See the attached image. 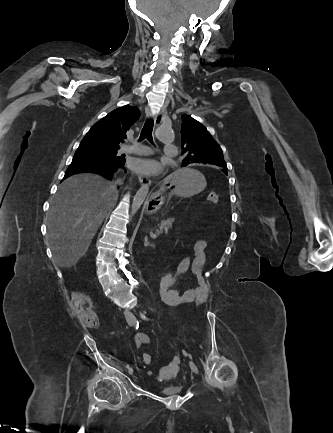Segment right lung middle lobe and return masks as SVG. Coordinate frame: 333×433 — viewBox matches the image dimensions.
<instances>
[{
    "label": "right lung middle lobe",
    "mask_w": 333,
    "mask_h": 433,
    "mask_svg": "<svg viewBox=\"0 0 333 433\" xmlns=\"http://www.w3.org/2000/svg\"><path fill=\"white\" fill-rule=\"evenodd\" d=\"M74 157H85L110 161L118 160L120 158L117 156V150L98 148L84 141L80 143V146L77 149Z\"/></svg>",
    "instance_id": "dd1d6c3e"
}]
</instances>
